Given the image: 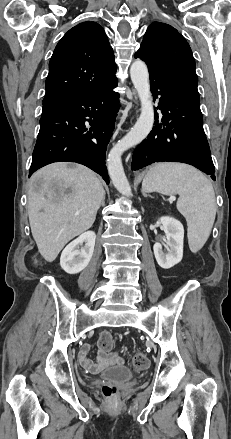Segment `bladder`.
I'll return each instance as SVG.
<instances>
[{
  "mask_svg": "<svg viewBox=\"0 0 231 439\" xmlns=\"http://www.w3.org/2000/svg\"><path fill=\"white\" fill-rule=\"evenodd\" d=\"M132 377V371L126 366H115L102 373V378L116 382L128 381L132 379Z\"/></svg>",
  "mask_w": 231,
  "mask_h": 439,
  "instance_id": "1",
  "label": "bladder"
}]
</instances>
